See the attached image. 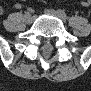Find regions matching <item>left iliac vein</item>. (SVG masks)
Wrapping results in <instances>:
<instances>
[{
  "label": "left iliac vein",
  "mask_w": 91,
  "mask_h": 91,
  "mask_svg": "<svg viewBox=\"0 0 91 91\" xmlns=\"http://www.w3.org/2000/svg\"><path fill=\"white\" fill-rule=\"evenodd\" d=\"M45 12L48 13V14H51V15H54L56 17L61 18V16L59 15V13L57 11L53 10V9H46Z\"/></svg>",
  "instance_id": "left-iliac-vein-1"
}]
</instances>
